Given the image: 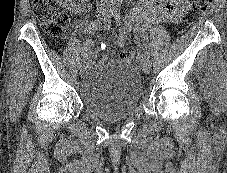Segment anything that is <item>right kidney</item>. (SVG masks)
Here are the masks:
<instances>
[{
  "label": "right kidney",
  "mask_w": 227,
  "mask_h": 173,
  "mask_svg": "<svg viewBox=\"0 0 227 173\" xmlns=\"http://www.w3.org/2000/svg\"><path fill=\"white\" fill-rule=\"evenodd\" d=\"M63 2V6L68 9H72V11H78L77 5L74 3L75 0H61Z\"/></svg>",
  "instance_id": "ca27d5eb"
}]
</instances>
